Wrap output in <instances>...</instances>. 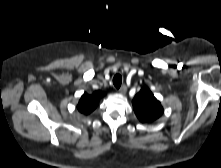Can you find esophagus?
Returning <instances> with one entry per match:
<instances>
[{
    "instance_id": "1",
    "label": "esophagus",
    "mask_w": 221,
    "mask_h": 168,
    "mask_svg": "<svg viewBox=\"0 0 221 168\" xmlns=\"http://www.w3.org/2000/svg\"><path fill=\"white\" fill-rule=\"evenodd\" d=\"M120 94H125L127 91V87L126 85H123L120 87V89L118 90Z\"/></svg>"
}]
</instances>
